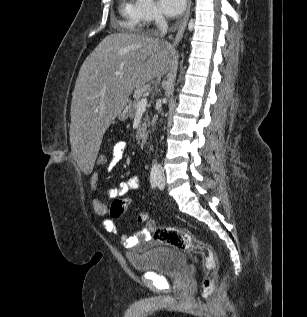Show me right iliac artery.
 <instances>
[{
    "label": "right iliac artery",
    "instance_id": "obj_1",
    "mask_svg": "<svg viewBox=\"0 0 307 317\" xmlns=\"http://www.w3.org/2000/svg\"><path fill=\"white\" fill-rule=\"evenodd\" d=\"M158 178H159V172L157 167H153L151 169V173H150V183H151V187L153 189H156V186L158 184Z\"/></svg>",
    "mask_w": 307,
    "mask_h": 317
}]
</instances>
